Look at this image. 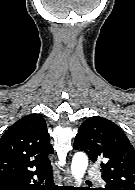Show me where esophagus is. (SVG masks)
Masks as SVG:
<instances>
[{"label":"esophagus","mask_w":135,"mask_h":190,"mask_svg":"<svg viewBox=\"0 0 135 190\" xmlns=\"http://www.w3.org/2000/svg\"><path fill=\"white\" fill-rule=\"evenodd\" d=\"M62 181H63V183L65 185H71L72 184V177L69 174V170L68 169H67V173H64Z\"/></svg>","instance_id":"34e87169"}]
</instances>
